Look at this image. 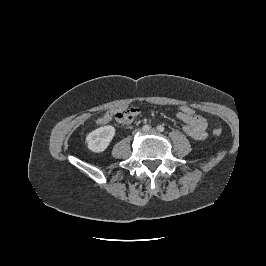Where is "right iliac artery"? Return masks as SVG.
Segmentation results:
<instances>
[{"label": "right iliac artery", "mask_w": 266, "mask_h": 266, "mask_svg": "<svg viewBox=\"0 0 266 266\" xmlns=\"http://www.w3.org/2000/svg\"><path fill=\"white\" fill-rule=\"evenodd\" d=\"M150 128H151L150 125H144L143 131L148 132L150 130Z\"/></svg>", "instance_id": "1"}]
</instances>
